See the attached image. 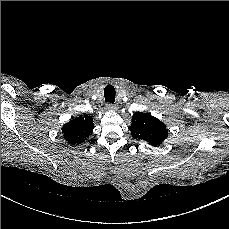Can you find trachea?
I'll list each match as a JSON object with an SVG mask.
<instances>
[{
  "mask_svg": "<svg viewBox=\"0 0 229 229\" xmlns=\"http://www.w3.org/2000/svg\"><path fill=\"white\" fill-rule=\"evenodd\" d=\"M115 95H116V91L114 86H112L111 84H108L105 88H104V97H105V101L108 103L113 104L115 101Z\"/></svg>",
  "mask_w": 229,
  "mask_h": 229,
  "instance_id": "1",
  "label": "trachea"
}]
</instances>
